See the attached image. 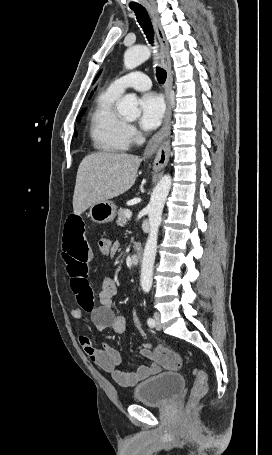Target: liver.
Returning a JSON list of instances; mask_svg holds the SVG:
<instances>
[{"instance_id": "obj_1", "label": "liver", "mask_w": 272, "mask_h": 455, "mask_svg": "<svg viewBox=\"0 0 272 455\" xmlns=\"http://www.w3.org/2000/svg\"><path fill=\"white\" fill-rule=\"evenodd\" d=\"M141 159L127 153L98 152L87 155L77 171L73 195L76 215L92 205L120 196L135 183Z\"/></svg>"}]
</instances>
